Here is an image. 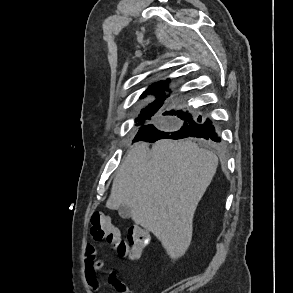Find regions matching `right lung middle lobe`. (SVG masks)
Segmentation results:
<instances>
[{"label":"right lung middle lobe","instance_id":"obj_1","mask_svg":"<svg viewBox=\"0 0 293 293\" xmlns=\"http://www.w3.org/2000/svg\"><path fill=\"white\" fill-rule=\"evenodd\" d=\"M157 111H158L157 109L149 110L148 108H146L145 110H142L141 114L139 115V118L136 119V121H139L137 125L144 124L145 120L150 119L151 116H153Z\"/></svg>","mask_w":293,"mask_h":293}]
</instances>
